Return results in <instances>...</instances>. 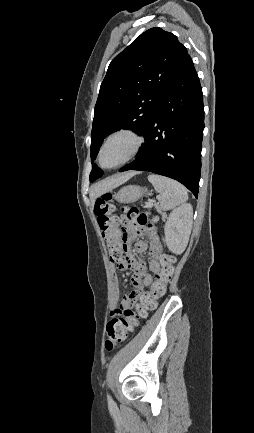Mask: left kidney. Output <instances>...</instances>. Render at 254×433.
Returning <instances> with one entry per match:
<instances>
[{
    "label": "left kidney",
    "mask_w": 254,
    "mask_h": 433,
    "mask_svg": "<svg viewBox=\"0 0 254 433\" xmlns=\"http://www.w3.org/2000/svg\"><path fill=\"white\" fill-rule=\"evenodd\" d=\"M193 208L184 204L174 209L165 223V243L174 254H181L186 249L192 229Z\"/></svg>",
    "instance_id": "5707ae66"
}]
</instances>
